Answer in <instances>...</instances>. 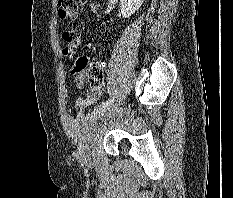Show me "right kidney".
I'll use <instances>...</instances> for the list:
<instances>
[{"mask_svg":"<svg viewBox=\"0 0 233 198\" xmlns=\"http://www.w3.org/2000/svg\"><path fill=\"white\" fill-rule=\"evenodd\" d=\"M144 0H120V9L123 18H129L142 5Z\"/></svg>","mask_w":233,"mask_h":198,"instance_id":"1","label":"right kidney"}]
</instances>
